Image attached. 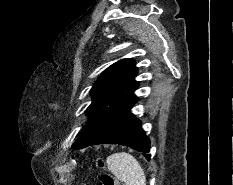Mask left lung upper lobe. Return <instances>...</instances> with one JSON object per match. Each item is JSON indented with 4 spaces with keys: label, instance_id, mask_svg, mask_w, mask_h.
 <instances>
[{
    "label": "left lung upper lobe",
    "instance_id": "obj_1",
    "mask_svg": "<svg viewBox=\"0 0 233 185\" xmlns=\"http://www.w3.org/2000/svg\"><path fill=\"white\" fill-rule=\"evenodd\" d=\"M132 59H122L108 67L91 89L92 103L86 110L88 128L93 126L108 110L109 106L123 93L138 84Z\"/></svg>",
    "mask_w": 233,
    "mask_h": 185
}]
</instances>
